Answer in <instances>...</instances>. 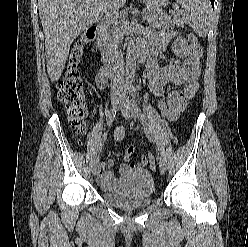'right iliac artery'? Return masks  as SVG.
<instances>
[{
    "instance_id": "right-iliac-artery-1",
    "label": "right iliac artery",
    "mask_w": 248,
    "mask_h": 247,
    "mask_svg": "<svg viewBox=\"0 0 248 247\" xmlns=\"http://www.w3.org/2000/svg\"><path fill=\"white\" fill-rule=\"evenodd\" d=\"M117 110H118L117 107H113V108L111 109V111L109 112L108 119H107L108 130H106V131L104 132L103 136H102V140H101L100 146H99V148H98V150H97L98 153L101 152L102 146L104 145V142H105V140H106V138H107L108 131H109V129H110V127H111V125H112V123H113L115 117H116Z\"/></svg>"
}]
</instances>
